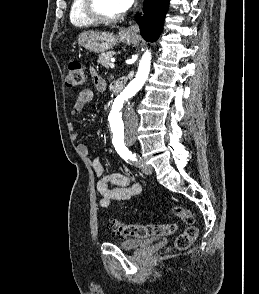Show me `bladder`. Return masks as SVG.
Wrapping results in <instances>:
<instances>
[{"instance_id":"obj_1","label":"bladder","mask_w":259,"mask_h":294,"mask_svg":"<svg viewBox=\"0 0 259 294\" xmlns=\"http://www.w3.org/2000/svg\"><path fill=\"white\" fill-rule=\"evenodd\" d=\"M159 239L158 236L146 239H126L117 243L118 247L124 251H135L138 250L153 241Z\"/></svg>"}]
</instances>
